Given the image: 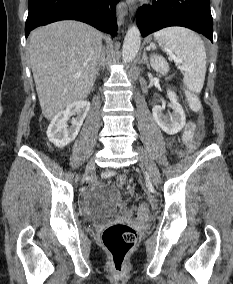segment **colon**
Here are the masks:
<instances>
[{
	"label": "colon",
	"mask_w": 233,
	"mask_h": 284,
	"mask_svg": "<svg viewBox=\"0 0 233 284\" xmlns=\"http://www.w3.org/2000/svg\"><path fill=\"white\" fill-rule=\"evenodd\" d=\"M153 68L161 73L168 72V64L162 57L152 58ZM188 104L194 112L202 110V103L199 97L190 91L186 92ZM184 144L190 149H195L201 142L202 136L197 131L195 125L187 124L182 134ZM104 179H115L117 186L123 187L126 184V178L123 175H117L113 170H106L103 173ZM137 214L140 219L147 218L149 207L146 203H140L137 207ZM137 240L136 230L123 223H114L106 227L102 233V243L110 255L113 268L116 271L124 269V265L130 251L133 249Z\"/></svg>",
	"instance_id": "colon-1"
}]
</instances>
